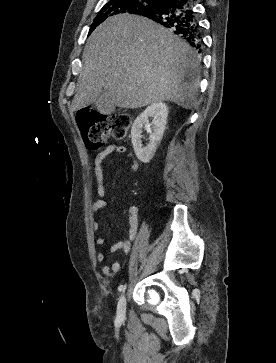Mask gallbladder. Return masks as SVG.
Returning a JSON list of instances; mask_svg holds the SVG:
<instances>
[{
  "label": "gallbladder",
  "instance_id": "obj_1",
  "mask_svg": "<svg viewBox=\"0 0 276 363\" xmlns=\"http://www.w3.org/2000/svg\"><path fill=\"white\" fill-rule=\"evenodd\" d=\"M97 110L104 115H110L116 109L115 104L107 90H103L100 97L95 102Z\"/></svg>",
  "mask_w": 276,
  "mask_h": 363
}]
</instances>
